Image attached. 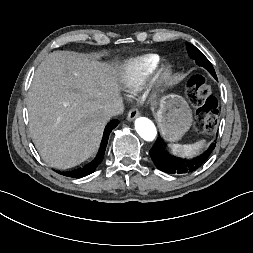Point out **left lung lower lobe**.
I'll return each instance as SVG.
<instances>
[{"instance_id": "obj_1", "label": "left lung lower lobe", "mask_w": 253, "mask_h": 253, "mask_svg": "<svg viewBox=\"0 0 253 253\" xmlns=\"http://www.w3.org/2000/svg\"><path fill=\"white\" fill-rule=\"evenodd\" d=\"M199 66L206 68L210 74L217 79L216 73L209 60L201 61L195 60ZM215 148V143H212L210 147L201 155L191 158L182 159L170 155L162 146L160 140L154 143L150 150V156L155 166L168 174H189L197 170L203 163L207 161L212 151Z\"/></svg>"}]
</instances>
